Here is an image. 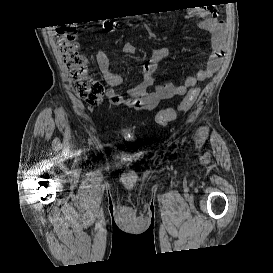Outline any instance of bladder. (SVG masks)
Masks as SVG:
<instances>
[{
  "instance_id": "obj_1",
  "label": "bladder",
  "mask_w": 273,
  "mask_h": 273,
  "mask_svg": "<svg viewBox=\"0 0 273 273\" xmlns=\"http://www.w3.org/2000/svg\"><path fill=\"white\" fill-rule=\"evenodd\" d=\"M121 134L125 137L131 136L133 137L135 135V129L131 127H124L121 130Z\"/></svg>"
}]
</instances>
